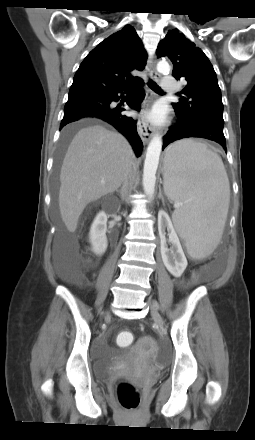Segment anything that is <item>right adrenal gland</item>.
<instances>
[{
    "mask_svg": "<svg viewBox=\"0 0 255 440\" xmlns=\"http://www.w3.org/2000/svg\"><path fill=\"white\" fill-rule=\"evenodd\" d=\"M116 192H117L118 194H120V198H121V200L124 201V199H125V193H124V190H116Z\"/></svg>",
    "mask_w": 255,
    "mask_h": 440,
    "instance_id": "1",
    "label": "right adrenal gland"
}]
</instances>
